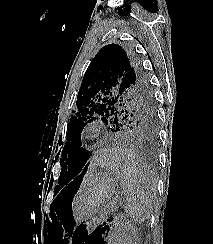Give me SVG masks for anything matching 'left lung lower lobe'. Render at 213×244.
<instances>
[{
  "label": "left lung lower lobe",
  "mask_w": 213,
  "mask_h": 244,
  "mask_svg": "<svg viewBox=\"0 0 213 244\" xmlns=\"http://www.w3.org/2000/svg\"><path fill=\"white\" fill-rule=\"evenodd\" d=\"M118 128L119 127H116L114 130H117ZM90 156H91V154L87 150H83V152H81V154L78 158V161H77L75 175L70 184H80L81 183L83 175L85 174L87 167L89 165L88 160H89Z\"/></svg>",
  "instance_id": "1"
}]
</instances>
